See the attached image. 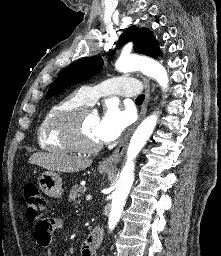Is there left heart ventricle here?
<instances>
[{
	"instance_id": "obj_1",
	"label": "left heart ventricle",
	"mask_w": 221,
	"mask_h": 256,
	"mask_svg": "<svg viewBox=\"0 0 221 256\" xmlns=\"http://www.w3.org/2000/svg\"><path fill=\"white\" fill-rule=\"evenodd\" d=\"M98 121H99L98 115L92 112L87 113L83 118L81 135H82V139L87 144L99 143L95 135V129L98 124Z\"/></svg>"
}]
</instances>
